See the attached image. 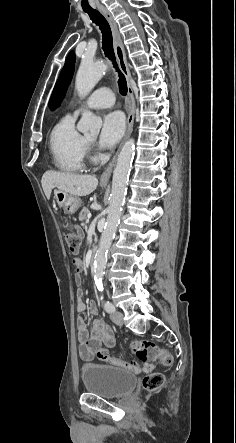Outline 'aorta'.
Listing matches in <instances>:
<instances>
[{
	"label": "aorta",
	"mask_w": 236,
	"mask_h": 443,
	"mask_svg": "<svg viewBox=\"0 0 236 443\" xmlns=\"http://www.w3.org/2000/svg\"><path fill=\"white\" fill-rule=\"evenodd\" d=\"M106 70L107 64L105 63H93L83 60L75 80V87L79 96L82 98L87 96L103 77ZM101 126L102 120L99 117L90 111H84L77 125V129L84 134L95 136L99 133ZM134 148V139H129L123 145L113 171L107 221L94 260V280L98 286L102 285L108 250L115 235L121 217L122 207L125 202L126 187L134 155Z\"/></svg>",
	"instance_id": "aorta-1"
}]
</instances>
